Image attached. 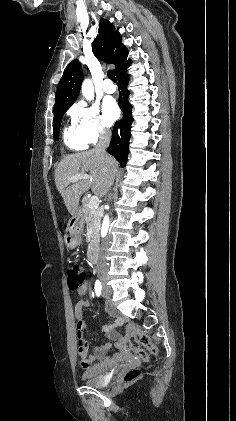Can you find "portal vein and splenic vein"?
<instances>
[{"label": "portal vein and splenic vein", "instance_id": "obj_1", "mask_svg": "<svg viewBox=\"0 0 236 421\" xmlns=\"http://www.w3.org/2000/svg\"><path fill=\"white\" fill-rule=\"evenodd\" d=\"M79 178H91L90 174H75V176H71L69 178L70 182H76V180H79ZM99 204V198L98 196H91L89 200V206H98Z\"/></svg>", "mask_w": 236, "mask_h": 421}]
</instances>
